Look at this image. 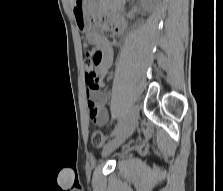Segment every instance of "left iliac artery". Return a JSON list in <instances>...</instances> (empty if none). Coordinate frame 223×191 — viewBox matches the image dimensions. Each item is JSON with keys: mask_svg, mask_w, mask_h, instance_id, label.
Wrapping results in <instances>:
<instances>
[{"mask_svg": "<svg viewBox=\"0 0 223 191\" xmlns=\"http://www.w3.org/2000/svg\"><path fill=\"white\" fill-rule=\"evenodd\" d=\"M124 123H125L124 117L120 118L119 122L117 123V125L115 126V128L113 129L111 133V137L115 136L120 131Z\"/></svg>", "mask_w": 223, "mask_h": 191, "instance_id": "44dca946", "label": "left iliac artery"}]
</instances>
